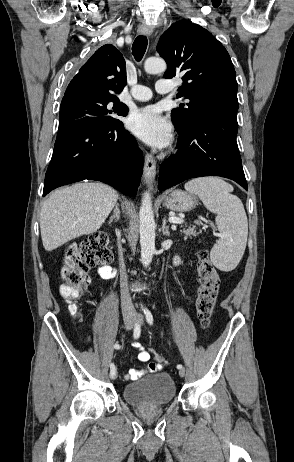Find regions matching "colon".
I'll return each mask as SVG.
<instances>
[{
	"mask_svg": "<svg viewBox=\"0 0 294 462\" xmlns=\"http://www.w3.org/2000/svg\"><path fill=\"white\" fill-rule=\"evenodd\" d=\"M109 238L105 234L93 235L79 244L71 246L65 255L62 265V285L60 293L70 302L69 310L73 315L78 314V306L72 303L88 286L87 273L97 265H107L113 255L109 248ZM197 272L199 277L198 296L196 300L197 316L201 325L209 326L220 285L219 275L212 265L205 250L199 252ZM155 360H159L156 351L150 350Z\"/></svg>",
	"mask_w": 294,
	"mask_h": 462,
	"instance_id": "colon-1",
	"label": "colon"
}]
</instances>
